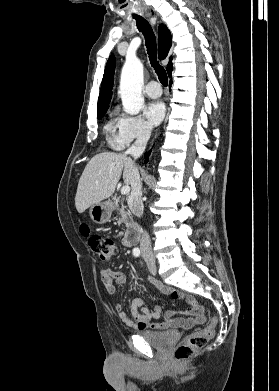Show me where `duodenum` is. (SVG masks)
<instances>
[{
	"label": "duodenum",
	"mask_w": 279,
	"mask_h": 391,
	"mask_svg": "<svg viewBox=\"0 0 279 391\" xmlns=\"http://www.w3.org/2000/svg\"><path fill=\"white\" fill-rule=\"evenodd\" d=\"M141 237V228L138 224L129 226L127 233L125 234V240L129 246L139 243Z\"/></svg>",
	"instance_id": "obj_1"
}]
</instances>
